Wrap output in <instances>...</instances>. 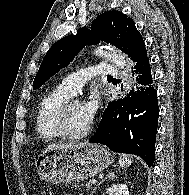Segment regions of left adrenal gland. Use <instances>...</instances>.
<instances>
[{"instance_id": "a2214340", "label": "left adrenal gland", "mask_w": 189, "mask_h": 195, "mask_svg": "<svg viewBox=\"0 0 189 195\" xmlns=\"http://www.w3.org/2000/svg\"><path fill=\"white\" fill-rule=\"evenodd\" d=\"M114 172H109V174H107V176L104 178V179H102L99 183H98V185L97 186H95L94 188H93V190H92V192H91V195H93L95 192H96V190H97V188L105 181V180H107V179H112V178H114Z\"/></svg>"}]
</instances>
